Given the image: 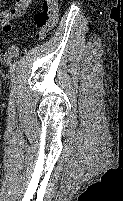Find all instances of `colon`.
<instances>
[{"label":"colon","mask_w":123,"mask_h":201,"mask_svg":"<svg viewBox=\"0 0 123 201\" xmlns=\"http://www.w3.org/2000/svg\"><path fill=\"white\" fill-rule=\"evenodd\" d=\"M58 18V0H43L40 10L34 16L38 36L44 39L52 31Z\"/></svg>","instance_id":"obj_1"}]
</instances>
